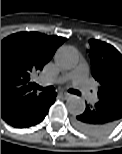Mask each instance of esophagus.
Returning a JSON list of instances; mask_svg holds the SVG:
<instances>
[{"label": "esophagus", "mask_w": 122, "mask_h": 154, "mask_svg": "<svg viewBox=\"0 0 122 154\" xmlns=\"http://www.w3.org/2000/svg\"><path fill=\"white\" fill-rule=\"evenodd\" d=\"M59 95L63 97L64 99H67L68 97H70V94L67 92H60Z\"/></svg>", "instance_id": "obj_1"}]
</instances>
